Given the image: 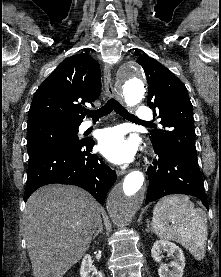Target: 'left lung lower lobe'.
<instances>
[{
  "instance_id": "0a47b994",
  "label": "left lung lower lobe",
  "mask_w": 221,
  "mask_h": 277,
  "mask_svg": "<svg viewBox=\"0 0 221 277\" xmlns=\"http://www.w3.org/2000/svg\"><path fill=\"white\" fill-rule=\"evenodd\" d=\"M156 158L147 169L149 187L146 203L170 194L200 198L209 210L198 163L170 149L156 150Z\"/></svg>"
}]
</instances>
